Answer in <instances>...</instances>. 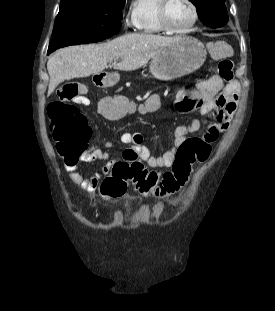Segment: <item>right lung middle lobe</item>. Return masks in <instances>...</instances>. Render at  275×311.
Wrapping results in <instances>:
<instances>
[{
  "label": "right lung middle lobe",
  "mask_w": 275,
  "mask_h": 311,
  "mask_svg": "<svg viewBox=\"0 0 275 311\" xmlns=\"http://www.w3.org/2000/svg\"><path fill=\"white\" fill-rule=\"evenodd\" d=\"M124 4L125 0H61L48 54L58 48L97 42L116 34L121 27Z\"/></svg>",
  "instance_id": "1"
}]
</instances>
